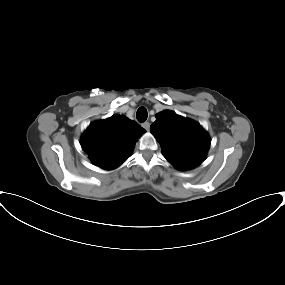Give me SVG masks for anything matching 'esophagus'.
<instances>
[{
  "mask_svg": "<svg viewBox=\"0 0 285 285\" xmlns=\"http://www.w3.org/2000/svg\"><path fill=\"white\" fill-rule=\"evenodd\" d=\"M142 126H143L147 131H149V128H150V123H149V122H144V123L142 124Z\"/></svg>",
  "mask_w": 285,
  "mask_h": 285,
  "instance_id": "34e87169",
  "label": "esophagus"
}]
</instances>
